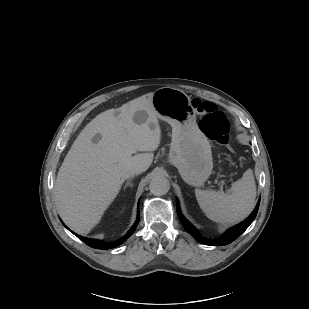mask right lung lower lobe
Masks as SVG:
<instances>
[{"instance_id":"98d812e1","label":"right lung lower lobe","mask_w":309,"mask_h":309,"mask_svg":"<svg viewBox=\"0 0 309 309\" xmlns=\"http://www.w3.org/2000/svg\"><path fill=\"white\" fill-rule=\"evenodd\" d=\"M138 223H139V209H138L137 220H136L135 224L132 226V228L121 239H119L118 241L113 242V243H105V242L100 241V240L85 238V237H82V236L77 235L76 233L72 232L67 227L66 228L68 230H70L74 235H76L79 239H81L84 243H86L90 247H93V248H96V249H111V248H114V247L121 245L127 238H129L132 235V233L135 231Z\"/></svg>"}]
</instances>
